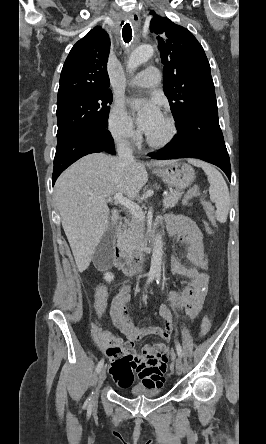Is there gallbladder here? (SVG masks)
Masks as SVG:
<instances>
[{
    "instance_id": "obj_1",
    "label": "gallbladder",
    "mask_w": 266,
    "mask_h": 444,
    "mask_svg": "<svg viewBox=\"0 0 266 444\" xmlns=\"http://www.w3.org/2000/svg\"><path fill=\"white\" fill-rule=\"evenodd\" d=\"M116 232L114 224L110 225L100 239L93 256V261L98 268H108L113 263V240Z\"/></svg>"
}]
</instances>
